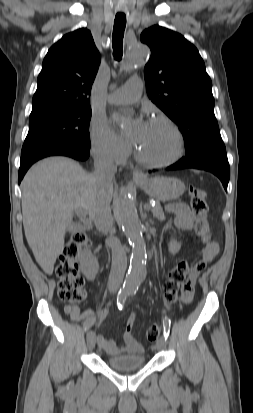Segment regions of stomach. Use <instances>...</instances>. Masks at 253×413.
Returning a JSON list of instances; mask_svg holds the SVG:
<instances>
[{
  "label": "stomach",
  "instance_id": "1",
  "mask_svg": "<svg viewBox=\"0 0 253 413\" xmlns=\"http://www.w3.org/2000/svg\"><path fill=\"white\" fill-rule=\"evenodd\" d=\"M140 188L150 197L159 201H170L179 198L185 191V184L171 177L156 176L138 182Z\"/></svg>",
  "mask_w": 253,
  "mask_h": 413
}]
</instances>
